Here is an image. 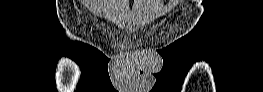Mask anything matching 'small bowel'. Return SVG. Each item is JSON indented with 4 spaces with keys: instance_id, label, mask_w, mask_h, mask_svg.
Here are the masks:
<instances>
[{
    "instance_id": "obj_1",
    "label": "small bowel",
    "mask_w": 263,
    "mask_h": 92,
    "mask_svg": "<svg viewBox=\"0 0 263 92\" xmlns=\"http://www.w3.org/2000/svg\"><path fill=\"white\" fill-rule=\"evenodd\" d=\"M117 2L124 3V1H117Z\"/></svg>"
}]
</instances>
